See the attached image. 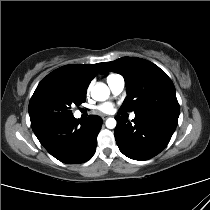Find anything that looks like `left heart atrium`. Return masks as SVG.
I'll list each match as a JSON object with an SVG mask.
<instances>
[{
	"mask_svg": "<svg viewBox=\"0 0 210 210\" xmlns=\"http://www.w3.org/2000/svg\"><path fill=\"white\" fill-rule=\"evenodd\" d=\"M97 109L103 113H110L113 110V105L107 102L99 105Z\"/></svg>",
	"mask_w": 210,
	"mask_h": 210,
	"instance_id": "39dd6f15",
	"label": "left heart atrium"
}]
</instances>
